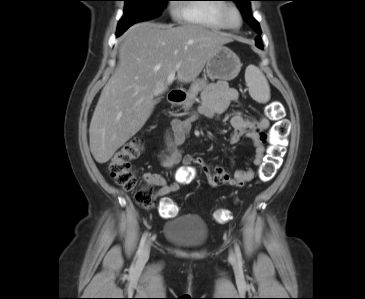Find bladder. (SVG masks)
<instances>
[{
    "instance_id": "1",
    "label": "bladder",
    "mask_w": 365,
    "mask_h": 299,
    "mask_svg": "<svg viewBox=\"0 0 365 299\" xmlns=\"http://www.w3.org/2000/svg\"><path fill=\"white\" fill-rule=\"evenodd\" d=\"M208 236L206 223L194 214L181 215L164 226L165 241L179 248H198L207 241Z\"/></svg>"
}]
</instances>
